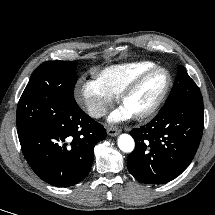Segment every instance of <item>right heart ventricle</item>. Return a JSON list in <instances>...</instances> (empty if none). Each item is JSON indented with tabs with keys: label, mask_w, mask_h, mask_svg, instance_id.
I'll return each instance as SVG.
<instances>
[{
	"label": "right heart ventricle",
	"mask_w": 215,
	"mask_h": 215,
	"mask_svg": "<svg viewBox=\"0 0 215 215\" xmlns=\"http://www.w3.org/2000/svg\"><path fill=\"white\" fill-rule=\"evenodd\" d=\"M154 65L151 61L116 64L96 71L94 76L105 89L117 96L132 79Z\"/></svg>",
	"instance_id": "e07e8e85"
}]
</instances>
